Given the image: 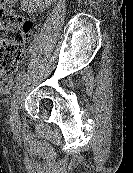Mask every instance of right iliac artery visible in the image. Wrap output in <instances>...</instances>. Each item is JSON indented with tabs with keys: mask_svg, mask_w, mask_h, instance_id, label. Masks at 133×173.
<instances>
[{
	"mask_svg": "<svg viewBox=\"0 0 133 173\" xmlns=\"http://www.w3.org/2000/svg\"><path fill=\"white\" fill-rule=\"evenodd\" d=\"M24 77H25V73H24V72H22V73H20V74L18 75L17 80H16V86H15V89H14V90H16V89L19 88L20 84H21L22 81L24 80Z\"/></svg>",
	"mask_w": 133,
	"mask_h": 173,
	"instance_id": "obj_1",
	"label": "right iliac artery"
}]
</instances>
